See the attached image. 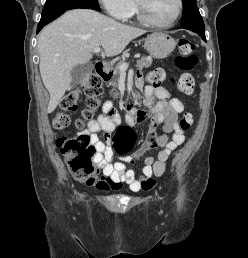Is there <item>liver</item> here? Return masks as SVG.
Masks as SVG:
<instances>
[{"label":"liver","mask_w":248,"mask_h":258,"mask_svg":"<svg viewBox=\"0 0 248 258\" xmlns=\"http://www.w3.org/2000/svg\"><path fill=\"white\" fill-rule=\"evenodd\" d=\"M146 31L124 25L90 9H74L46 26L38 38L39 69L50 94L47 112H53L72 82L77 64L88 63L95 47L104 55H119L129 42Z\"/></svg>","instance_id":"obj_1"}]
</instances>
